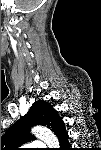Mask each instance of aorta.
Wrapping results in <instances>:
<instances>
[{
  "mask_svg": "<svg viewBox=\"0 0 101 150\" xmlns=\"http://www.w3.org/2000/svg\"><path fill=\"white\" fill-rule=\"evenodd\" d=\"M32 133L43 140L50 148L59 147L57 137L47 127L36 126L32 129Z\"/></svg>",
  "mask_w": 101,
  "mask_h": 150,
  "instance_id": "762f6f07",
  "label": "aorta"
}]
</instances>
